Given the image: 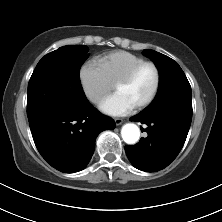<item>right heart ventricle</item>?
<instances>
[{
    "label": "right heart ventricle",
    "mask_w": 222,
    "mask_h": 222,
    "mask_svg": "<svg viewBox=\"0 0 222 222\" xmlns=\"http://www.w3.org/2000/svg\"><path fill=\"white\" fill-rule=\"evenodd\" d=\"M144 58L127 51L117 50L99 58L98 63L114 85L136 65L144 62Z\"/></svg>",
    "instance_id": "1"
}]
</instances>
